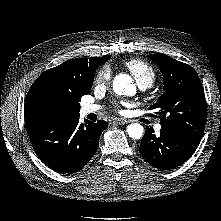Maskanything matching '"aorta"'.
Returning <instances> with one entry per match:
<instances>
[{"label": "aorta", "instance_id": "1", "mask_svg": "<svg viewBox=\"0 0 221 221\" xmlns=\"http://www.w3.org/2000/svg\"><path fill=\"white\" fill-rule=\"evenodd\" d=\"M114 92L118 95L129 94L133 89L132 78L127 74H119L113 81ZM144 128L138 123L128 125L127 133L133 139H140L143 136Z\"/></svg>", "mask_w": 221, "mask_h": 221}]
</instances>
